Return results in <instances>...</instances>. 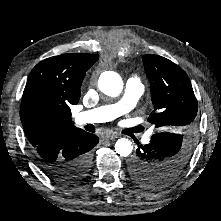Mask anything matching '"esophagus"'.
I'll list each match as a JSON object with an SVG mask.
<instances>
[{
    "instance_id": "obj_1",
    "label": "esophagus",
    "mask_w": 221,
    "mask_h": 221,
    "mask_svg": "<svg viewBox=\"0 0 221 221\" xmlns=\"http://www.w3.org/2000/svg\"><path fill=\"white\" fill-rule=\"evenodd\" d=\"M118 137L116 133H109L103 136V140H113Z\"/></svg>"
}]
</instances>
